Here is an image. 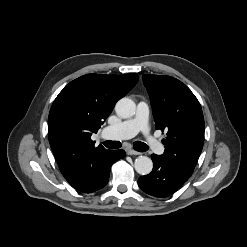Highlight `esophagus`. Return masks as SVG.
<instances>
[{
    "label": "esophagus",
    "mask_w": 247,
    "mask_h": 247,
    "mask_svg": "<svg viewBox=\"0 0 247 247\" xmlns=\"http://www.w3.org/2000/svg\"><path fill=\"white\" fill-rule=\"evenodd\" d=\"M128 155H140L141 153L132 149L127 150Z\"/></svg>",
    "instance_id": "obj_1"
}]
</instances>
